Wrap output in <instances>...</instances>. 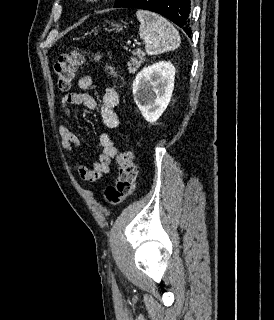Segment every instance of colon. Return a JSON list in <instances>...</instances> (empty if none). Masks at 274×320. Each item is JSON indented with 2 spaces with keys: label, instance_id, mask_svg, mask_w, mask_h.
Listing matches in <instances>:
<instances>
[{
  "label": "colon",
  "instance_id": "obj_1",
  "mask_svg": "<svg viewBox=\"0 0 274 320\" xmlns=\"http://www.w3.org/2000/svg\"><path fill=\"white\" fill-rule=\"evenodd\" d=\"M98 58V55H95ZM83 61V52L74 48L62 53L54 64L57 86L61 91H69L77 71ZM112 75L117 71L110 69ZM136 169L130 152H123L118 157V178L115 185L108 186L104 191L107 202L117 205L128 199L134 191Z\"/></svg>",
  "mask_w": 274,
  "mask_h": 320
}]
</instances>
